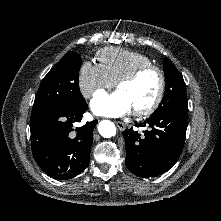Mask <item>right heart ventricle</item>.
<instances>
[{"instance_id":"right-heart-ventricle-1","label":"right heart ventricle","mask_w":221,"mask_h":221,"mask_svg":"<svg viewBox=\"0 0 221 221\" xmlns=\"http://www.w3.org/2000/svg\"><path fill=\"white\" fill-rule=\"evenodd\" d=\"M96 59L114 82L140 65L152 64V60L141 52L117 47L99 50Z\"/></svg>"}]
</instances>
